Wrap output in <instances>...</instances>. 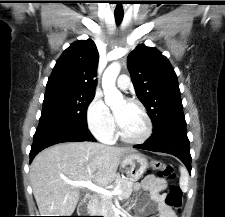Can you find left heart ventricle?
<instances>
[{
    "label": "left heart ventricle",
    "mask_w": 225,
    "mask_h": 217,
    "mask_svg": "<svg viewBox=\"0 0 225 217\" xmlns=\"http://www.w3.org/2000/svg\"><path fill=\"white\" fill-rule=\"evenodd\" d=\"M114 112L121 116L118 123L124 135L137 138L143 134L145 120L137 107L121 99L114 105Z\"/></svg>",
    "instance_id": "left-heart-ventricle-1"
}]
</instances>
